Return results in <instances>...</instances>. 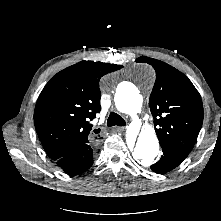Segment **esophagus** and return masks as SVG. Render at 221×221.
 Segmentation results:
<instances>
[{"mask_svg": "<svg viewBox=\"0 0 221 221\" xmlns=\"http://www.w3.org/2000/svg\"><path fill=\"white\" fill-rule=\"evenodd\" d=\"M116 129L119 131H125L126 127H116Z\"/></svg>", "mask_w": 221, "mask_h": 221, "instance_id": "esophagus-1", "label": "esophagus"}]
</instances>
